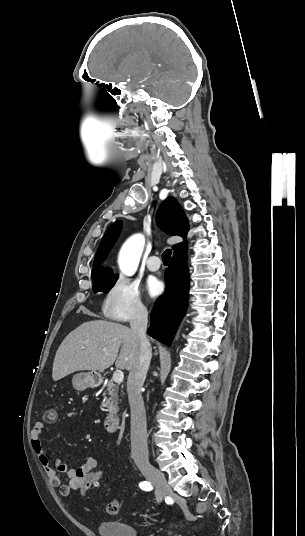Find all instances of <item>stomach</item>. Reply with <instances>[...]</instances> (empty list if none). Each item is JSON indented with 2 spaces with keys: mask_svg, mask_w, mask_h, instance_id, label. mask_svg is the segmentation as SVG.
<instances>
[{
  "mask_svg": "<svg viewBox=\"0 0 305 536\" xmlns=\"http://www.w3.org/2000/svg\"><path fill=\"white\" fill-rule=\"evenodd\" d=\"M102 384V378L98 374H93V372H82V374H76L72 378V386L74 390H79L83 392L86 388H96Z\"/></svg>",
  "mask_w": 305,
  "mask_h": 536,
  "instance_id": "0dacf381",
  "label": "stomach"
}]
</instances>
